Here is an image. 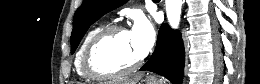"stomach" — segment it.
I'll list each match as a JSON object with an SVG mask.
<instances>
[{
    "label": "stomach",
    "instance_id": "obj_1",
    "mask_svg": "<svg viewBox=\"0 0 260 84\" xmlns=\"http://www.w3.org/2000/svg\"><path fill=\"white\" fill-rule=\"evenodd\" d=\"M146 84H165L163 81L148 78Z\"/></svg>",
    "mask_w": 260,
    "mask_h": 84
}]
</instances>
